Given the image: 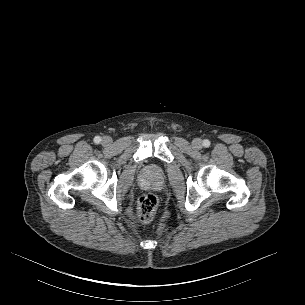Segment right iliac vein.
Instances as JSON below:
<instances>
[{
    "label": "right iliac vein",
    "mask_w": 305,
    "mask_h": 305,
    "mask_svg": "<svg viewBox=\"0 0 305 305\" xmlns=\"http://www.w3.org/2000/svg\"><path fill=\"white\" fill-rule=\"evenodd\" d=\"M111 142H112V139H111L110 137H108V136H105V137H103V139H102V143H103L104 145H110Z\"/></svg>",
    "instance_id": "1"
}]
</instances>
